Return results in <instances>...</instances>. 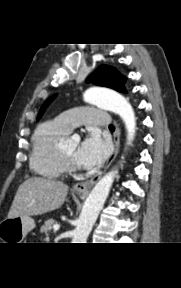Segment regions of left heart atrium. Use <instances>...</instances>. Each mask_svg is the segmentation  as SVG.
<instances>
[{
    "instance_id": "39dd6f15",
    "label": "left heart atrium",
    "mask_w": 181,
    "mask_h": 288,
    "mask_svg": "<svg viewBox=\"0 0 181 288\" xmlns=\"http://www.w3.org/2000/svg\"><path fill=\"white\" fill-rule=\"evenodd\" d=\"M109 151L108 142L102 139L99 132L90 131L77 149L75 162L83 168H95L106 159Z\"/></svg>"
}]
</instances>
